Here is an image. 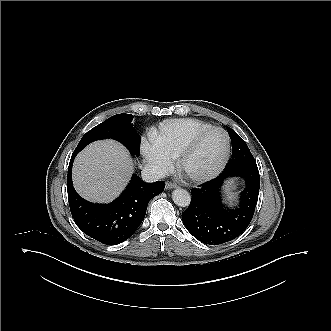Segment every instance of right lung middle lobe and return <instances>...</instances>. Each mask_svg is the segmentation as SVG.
<instances>
[{
  "instance_id": "1",
  "label": "right lung middle lobe",
  "mask_w": 331,
  "mask_h": 331,
  "mask_svg": "<svg viewBox=\"0 0 331 331\" xmlns=\"http://www.w3.org/2000/svg\"><path fill=\"white\" fill-rule=\"evenodd\" d=\"M132 119L133 115L131 114H118L110 117L87 132L75 151L80 152L86 145L95 140L112 138L121 142L131 154L137 156L140 152V137L136 136L135 131H133Z\"/></svg>"
}]
</instances>
